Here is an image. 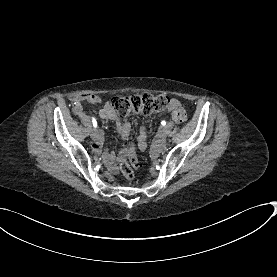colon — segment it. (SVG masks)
<instances>
[{
	"label": "colon",
	"instance_id": "colon-1",
	"mask_svg": "<svg viewBox=\"0 0 277 277\" xmlns=\"http://www.w3.org/2000/svg\"><path fill=\"white\" fill-rule=\"evenodd\" d=\"M94 99L92 96L89 98ZM116 113L122 117H127L130 113L150 115L160 113L168 109L170 99L163 94L143 93L131 96H114L110 99ZM174 120L183 123L187 119V114L183 108L173 110ZM120 169L127 180L133 179L132 166H136V159L132 149H128L127 154L121 153L118 156Z\"/></svg>",
	"mask_w": 277,
	"mask_h": 277
}]
</instances>
